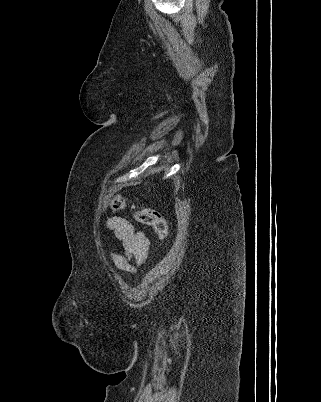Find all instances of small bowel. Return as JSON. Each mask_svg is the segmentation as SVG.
Returning <instances> with one entry per match:
<instances>
[{
  "mask_svg": "<svg viewBox=\"0 0 321 402\" xmlns=\"http://www.w3.org/2000/svg\"><path fill=\"white\" fill-rule=\"evenodd\" d=\"M108 228L113 231L123 245L124 254L112 253L110 256L116 268L125 272H135L136 267L130 263L133 260L137 265L145 262L149 251V240L143 232L135 231L133 225L125 218L112 216L107 221Z\"/></svg>",
  "mask_w": 321,
  "mask_h": 402,
  "instance_id": "1",
  "label": "small bowel"
}]
</instances>
